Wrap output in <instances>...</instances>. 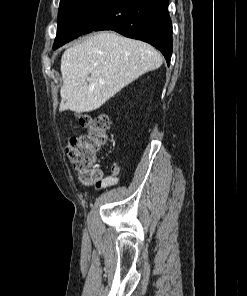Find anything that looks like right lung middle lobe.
<instances>
[{
  "label": "right lung middle lobe",
  "mask_w": 247,
  "mask_h": 296,
  "mask_svg": "<svg viewBox=\"0 0 247 296\" xmlns=\"http://www.w3.org/2000/svg\"><path fill=\"white\" fill-rule=\"evenodd\" d=\"M107 0H60L57 35L53 49L79 37L92 13Z\"/></svg>",
  "instance_id": "right-lung-middle-lobe-1"
}]
</instances>
